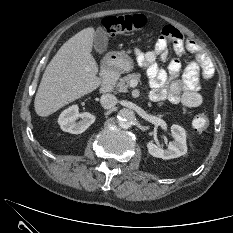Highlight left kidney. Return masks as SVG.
<instances>
[{
  "label": "left kidney",
  "instance_id": "obj_1",
  "mask_svg": "<svg viewBox=\"0 0 233 233\" xmlns=\"http://www.w3.org/2000/svg\"><path fill=\"white\" fill-rule=\"evenodd\" d=\"M171 135L174 138V141L169 142L167 149H163L150 141L147 143L148 152L153 157L165 160L185 155L187 153L185 129L179 125H172Z\"/></svg>",
  "mask_w": 233,
  "mask_h": 233
}]
</instances>
